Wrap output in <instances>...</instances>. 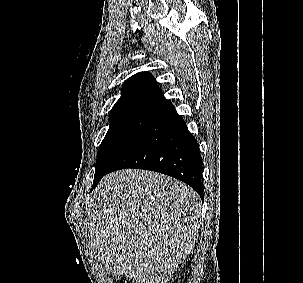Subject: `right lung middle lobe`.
<instances>
[{
	"label": "right lung middle lobe",
	"mask_w": 303,
	"mask_h": 283,
	"mask_svg": "<svg viewBox=\"0 0 303 283\" xmlns=\"http://www.w3.org/2000/svg\"><path fill=\"white\" fill-rule=\"evenodd\" d=\"M146 115H131L109 119V130L104 137L96 160L93 186L107 174L124 151L155 120Z\"/></svg>",
	"instance_id": "1"
}]
</instances>
